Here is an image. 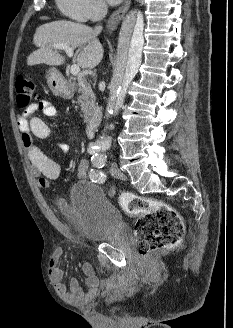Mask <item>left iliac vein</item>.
<instances>
[{"instance_id":"4c4485c4","label":"left iliac vein","mask_w":233,"mask_h":328,"mask_svg":"<svg viewBox=\"0 0 233 328\" xmlns=\"http://www.w3.org/2000/svg\"><path fill=\"white\" fill-rule=\"evenodd\" d=\"M110 172L115 178L122 180L126 179V176L123 174V172H121V170L117 167L115 163L110 164Z\"/></svg>"}]
</instances>
